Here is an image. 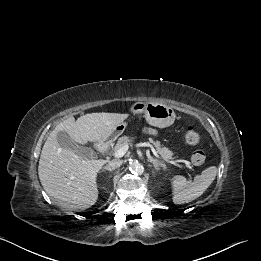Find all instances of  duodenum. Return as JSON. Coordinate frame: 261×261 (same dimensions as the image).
Wrapping results in <instances>:
<instances>
[{
	"instance_id": "1",
	"label": "duodenum",
	"mask_w": 261,
	"mask_h": 261,
	"mask_svg": "<svg viewBox=\"0 0 261 261\" xmlns=\"http://www.w3.org/2000/svg\"><path fill=\"white\" fill-rule=\"evenodd\" d=\"M96 149L97 151L103 153L106 151L107 149V143L106 142H100L96 145Z\"/></svg>"
}]
</instances>
